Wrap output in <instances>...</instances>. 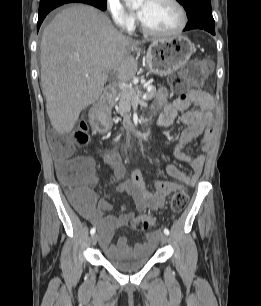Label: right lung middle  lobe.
Returning a JSON list of instances; mask_svg holds the SVG:
<instances>
[{"label":"right lung middle lobe","mask_w":261,"mask_h":306,"mask_svg":"<svg viewBox=\"0 0 261 306\" xmlns=\"http://www.w3.org/2000/svg\"><path fill=\"white\" fill-rule=\"evenodd\" d=\"M86 2L99 6L105 10L107 8V0H86Z\"/></svg>","instance_id":"right-lung-middle-lobe-1"}]
</instances>
